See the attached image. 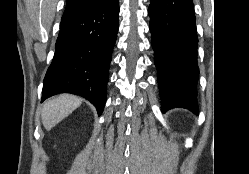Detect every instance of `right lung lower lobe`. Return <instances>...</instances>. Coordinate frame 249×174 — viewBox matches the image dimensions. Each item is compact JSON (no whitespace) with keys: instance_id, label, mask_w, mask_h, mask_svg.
I'll list each match as a JSON object with an SVG mask.
<instances>
[{"instance_id":"1","label":"right lung lower lobe","mask_w":249,"mask_h":174,"mask_svg":"<svg viewBox=\"0 0 249 174\" xmlns=\"http://www.w3.org/2000/svg\"><path fill=\"white\" fill-rule=\"evenodd\" d=\"M119 1L108 0L63 15L42 101L58 93L88 99L101 115L119 26Z\"/></svg>"}]
</instances>
